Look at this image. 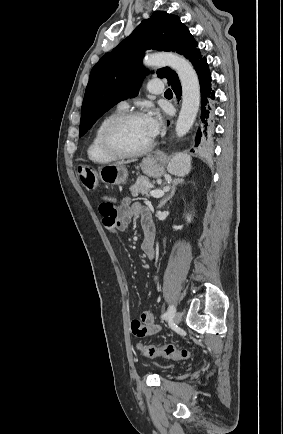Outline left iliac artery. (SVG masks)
I'll list each match as a JSON object with an SVG mask.
<instances>
[{"mask_svg": "<svg viewBox=\"0 0 283 434\" xmlns=\"http://www.w3.org/2000/svg\"><path fill=\"white\" fill-rule=\"evenodd\" d=\"M175 311H176L175 306L174 305H170L168 307V310L162 315V318L165 319V320H168V319L172 318L174 316V314H175Z\"/></svg>", "mask_w": 283, "mask_h": 434, "instance_id": "left-iliac-artery-1", "label": "left iliac artery"}]
</instances>
